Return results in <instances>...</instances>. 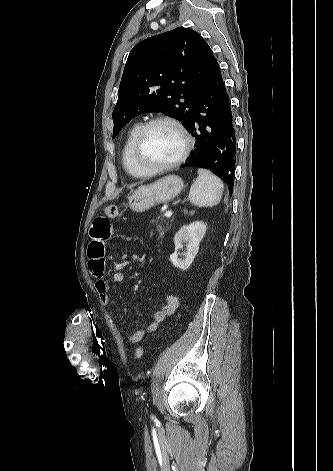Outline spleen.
Returning <instances> with one entry per match:
<instances>
[{"label":"spleen","instance_id":"obj_1","mask_svg":"<svg viewBox=\"0 0 333 471\" xmlns=\"http://www.w3.org/2000/svg\"><path fill=\"white\" fill-rule=\"evenodd\" d=\"M223 183L206 169H198V177L192 184L189 192V200L197 207H212L217 205L222 197Z\"/></svg>","mask_w":333,"mask_h":471}]
</instances>
